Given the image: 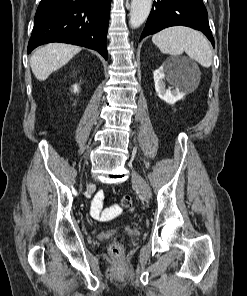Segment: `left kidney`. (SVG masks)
<instances>
[{
  "label": "left kidney",
  "mask_w": 247,
  "mask_h": 296,
  "mask_svg": "<svg viewBox=\"0 0 247 296\" xmlns=\"http://www.w3.org/2000/svg\"><path fill=\"white\" fill-rule=\"evenodd\" d=\"M155 90L160 99L174 104L186 95L185 87H195L196 79L180 59H168L154 71ZM165 79L176 88H166Z\"/></svg>",
  "instance_id": "1"
}]
</instances>
